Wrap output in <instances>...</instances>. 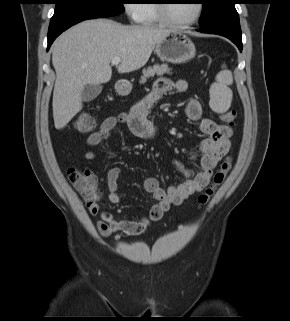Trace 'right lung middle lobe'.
<instances>
[{
	"label": "right lung middle lobe",
	"mask_w": 290,
	"mask_h": 321,
	"mask_svg": "<svg viewBox=\"0 0 290 321\" xmlns=\"http://www.w3.org/2000/svg\"><path fill=\"white\" fill-rule=\"evenodd\" d=\"M124 0H55L50 23L111 17L124 12Z\"/></svg>",
	"instance_id": "1"
}]
</instances>
